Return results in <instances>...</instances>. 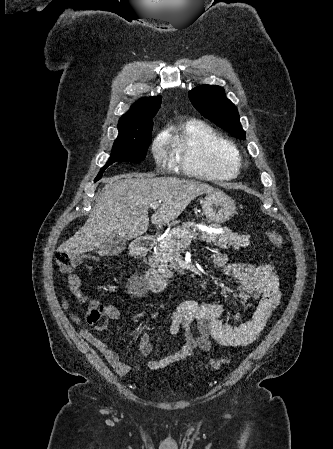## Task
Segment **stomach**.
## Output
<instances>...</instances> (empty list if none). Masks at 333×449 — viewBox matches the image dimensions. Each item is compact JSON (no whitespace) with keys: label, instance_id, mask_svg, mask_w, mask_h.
<instances>
[{"label":"stomach","instance_id":"1","mask_svg":"<svg viewBox=\"0 0 333 449\" xmlns=\"http://www.w3.org/2000/svg\"><path fill=\"white\" fill-rule=\"evenodd\" d=\"M202 209L207 221L216 224L225 223L236 214L235 201L219 191L205 197Z\"/></svg>","mask_w":333,"mask_h":449}]
</instances>
